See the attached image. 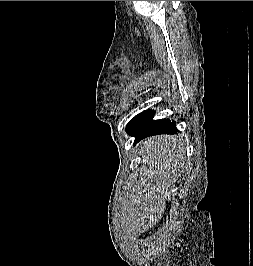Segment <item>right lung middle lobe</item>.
I'll return each instance as SVG.
<instances>
[{
	"label": "right lung middle lobe",
	"instance_id": "1",
	"mask_svg": "<svg viewBox=\"0 0 253 266\" xmlns=\"http://www.w3.org/2000/svg\"><path fill=\"white\" fill-rule=\"evenodd\" d=\"M154 116V111L153 110H147L144 111L137 116H135L127 125L128 128L130 129H139L142 127H147V126H154L157 123H159L162 120H153Z\"/></svg>",
	"mask_w": 253,
	"mask_h": 266
}]
</instances>
